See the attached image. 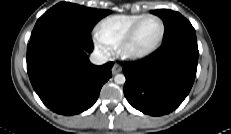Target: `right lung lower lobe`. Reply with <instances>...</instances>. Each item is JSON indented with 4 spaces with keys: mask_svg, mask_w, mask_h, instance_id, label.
<instances>
[{
    "mask_svg": "<svg viewBox=\"0 0 231 134\" xmlns=\"http://www.w3.org/2000/svg\"><path fill=\"white\" fill-rule=\"evenodd\" d=\"M88 34L65 24H49L31 34L27 71L35 92L52 111L74 115L90 108L112 76L113 62L90 63Z\"/></svg>",
    "mask_w": 231,
    "mask_h": 134,
    "instance_id": "right-lung-lower-lobe-1",
    "label": "right lung lower lobe"
}]
</instances>
